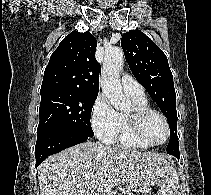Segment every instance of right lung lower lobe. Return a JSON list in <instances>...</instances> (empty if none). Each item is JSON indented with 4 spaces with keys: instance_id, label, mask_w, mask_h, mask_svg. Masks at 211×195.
<instances>
[{
    "instance_id": "98d812e1",
    "label": "right lung lower lobe",
    "mask_w": 211,
    "mask_h": 195,
    "mask_svg": "<svg viewBox=\"0 0 211 195\" xmlns=\"http://www.w3.org/2000/svg\"><path fill=\"white\" fill-rule=\"evenodd\" d=\"M91 138L89 134L77 130H54L37 137L35 146L36 167L48 156L68 147L85 142Z\"/></svg>"
}]
</instances>
